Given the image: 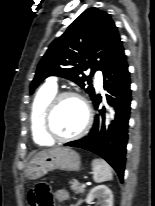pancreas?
<instances>
[{"instance_id": "1", "label": "pancreas", "mask_w": 155, "mask_h": 206, "mask_svg": "<svg viewBox=\"0 0 155 206\" xmlns=\"http://www.w3.org/2000/svg\"><path fill=\"white\" fill-rule=\"evenodd\" d=\"M69 184L71 185V189L75 192V194L84 193L85 189L82 188L78 181H70Z\"/></svg>"}]
</instances>
